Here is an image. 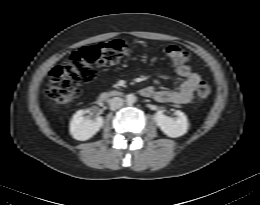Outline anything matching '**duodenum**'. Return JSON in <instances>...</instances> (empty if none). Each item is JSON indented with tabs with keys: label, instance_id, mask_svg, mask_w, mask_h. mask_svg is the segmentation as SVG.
I'll list each match as a JSON object with an SVG mask.
<instances>
[{
	"label": "duodenum",
	"instance_id": "obj_1",
	"mask_svg": "<svg viewBox=\"0 0 260 205\" xmlns=\"http://www.w3.org/2000/svg\"><path fill=\"white\" fill-rule=\"evenodd\" d=\"M107 95H108L107 93L104 94V96H107Z\"/></svg>",
	"mask_w": 260,
	"mask_h": 205
}]
</instances>
